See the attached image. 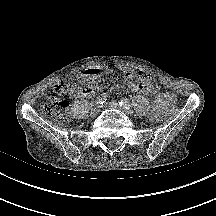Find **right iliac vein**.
Returning <instances> with one entry per match:
<instances>
[{
    "label": "right iliac vein",
    "instance_id": "1",
    "mask_svg": "<svg viewBox=\"0 0 216 216\" xmlns=\"http://www.w3.org/2000/svg\"><path fill=\"white\" fill-rule=\"evenodd\" d=\"M101 106L100 105H95L92 109H91V115L92 116H96L99 111H100Z\"/></svg>",
    "mask_w": 216,
    "mask_h": 216
}]
</instances>
